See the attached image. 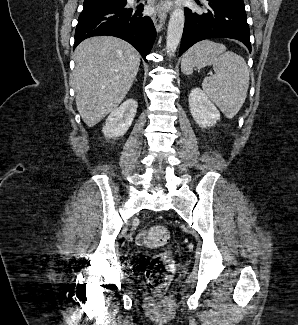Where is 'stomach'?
<instances>
[{"label": "stomach", "instance_id": "1", "mask_svg": "<svg viewBox=\"0 0 298 325\" xmlns=\"http://www.w3.org/2000/svg\"><path fill=\"white\" fill-rule=\"evenodd\" d=\"M184 62H185V54H184V56L182 58V64H184Z\"/></svg>", "mask_w": 298, "mask_h": 325}]
</instances>
